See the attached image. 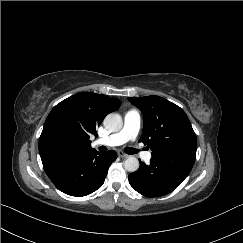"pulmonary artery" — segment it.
<instances>
[{"mask_svg":"<svg viewBox=\"0 0 243 243\" xmlns=\"http://www.w3.org/2000/svg\"><path fill=\"white\" fill-rule=\"evenodd\" d=\"M141 118L140 113L136 109L128 110L124 115L123 128L110 136L99 138L93 142L94 145L118 146L129 140H135L140 129ZM143 161L148 162L152 157L150 151L140 154Z\"/></svg>","mask_w":243,"mask_h":243,"instance_id":"e3ab8cb5","label":"pulmonary artery"}]
</instances>
